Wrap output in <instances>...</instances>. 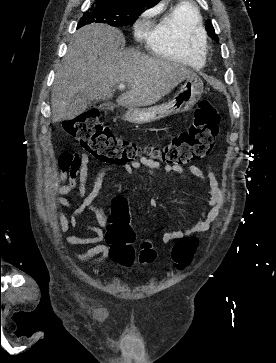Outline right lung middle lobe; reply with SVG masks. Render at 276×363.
I'll return each mask as SVG.
<instances>
[{"label": "right lung middle lobe", "mask_w": 276, "mask_h": 363, "mask_svg": "<svg viewBox=\"0 0 276 363\" xmlns=\"http://www.w3.org/2000/svg\"><path fill=\"white\" fill-rule=\"evenodd\" d=\"M147 8L146 4H121L110 1H95L84 12L77 28L91 23H105L114 27L132 25Z\"/></svg>", "instance_id": "right-lung-middle-lobe-1"}]
</instances>
